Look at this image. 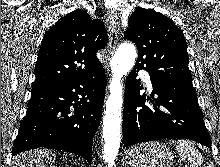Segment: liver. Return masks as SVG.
Wrapping results in <instances>:
<instances>
[{"label":"liver","instance_id":"liver-1","mask_svg":"<svg viewBox=\"0 0 220 167\" xmlns=\"http://www.w3.org/2000/svg\"><path fill=\"white\" fill-rule=\"evenodd\" d=\"M55 160V153L47 149H36L17 155L13 167H48Z\"/></svg>","mask_w":220,"mask_h":167}]
</instances>
